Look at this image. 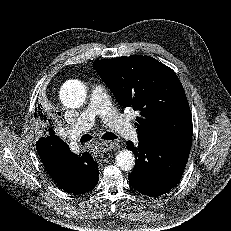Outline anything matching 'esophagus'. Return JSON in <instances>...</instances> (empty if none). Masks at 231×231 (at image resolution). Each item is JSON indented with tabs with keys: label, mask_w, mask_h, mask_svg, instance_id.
Wrapping results in <instances>:
<instances>
[{
	"label": "esophagus",
	"mask_w": 231,
	"mask_h": 231,
	"mask_svg": "<svg viewBox=\"0 0 231 231\" xmlns=\"http://www.w3.org/2000/svg\"><path fill=\"white\" fill-rule=\"evenodd\" d=\"M115 147V142L113 141H102L100 144V149L102 152H109Z\"/></svg>",
	"instance_id": "esophagus-1"
}]
</instances>
